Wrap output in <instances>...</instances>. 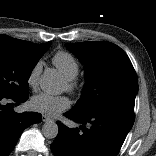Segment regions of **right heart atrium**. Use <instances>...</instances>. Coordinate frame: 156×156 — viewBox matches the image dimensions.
Listing matches in <instances>:
<instances>
[{
    "label": "right heart atrium",
    "instance_id": "1",
    "mask_svg": "<svg viewBox=\"0 0 156 156\" xmlns=\"http://www.w3.org/2000/svg\"><path fill=\"white\" fill-rule=\"evenodd\" d=\"M43 64L41 61L36 62L27 75V84L32 89H37L39 76L42 71Z\"/></svg>",
    "mask_w": 156,
    "mask_h": 156
}]
</instances>
